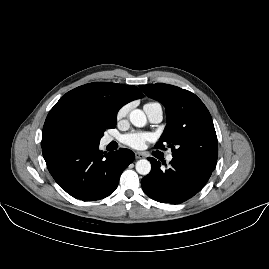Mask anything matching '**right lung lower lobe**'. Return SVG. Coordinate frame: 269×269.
Listing matches in <instances>:
<instances>
[{
  "label": "right lung lower lobe",
  "instance_id": "right-lung-lower-lobe-1",
  "mask_svg": "<svg viewBox=\"0 0 269 269\" xmlns=\"http://www.w3.org/2000/svg\"><path fill=\"white\" fill-rule=\"evenodd\" d=\"M42 152L54 180L83 201L99 200L113 193L120 175L135 158L129 149L106 154L99 150V143L81 144L56 135L42 141Z\"/></svg>",
  "mask_w": 269,
  "mask_h": 269
}]
</instances>
